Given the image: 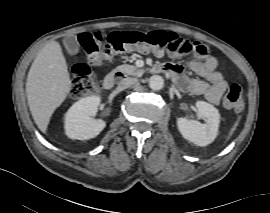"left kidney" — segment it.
<instances>
[{"mask_svg":"<svg viewBox=\"0 0 270 213\" xmlns=\"http://www.w3.org/2000/svg\"><path fill=\"white\" fill-rule=\"evenodd\" d=\"M196 107L200 115L205 118V123L181 117L177 119V127L186 140L197 146H207L218 135L220 114L218 109L204 101H197Z\"/></svg>","mask_w":270,"mask_h":213,"instance_id":"5707ae66","label":"left kidney"}]
</instances>
